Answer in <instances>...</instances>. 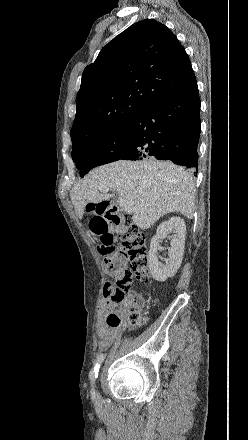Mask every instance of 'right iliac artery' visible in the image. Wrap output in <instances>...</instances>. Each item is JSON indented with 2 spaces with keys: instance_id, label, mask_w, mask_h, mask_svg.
Instances as JSON below:
<instances>
[{
  "instance_id": "right-iliac-artery-1",
  "label": "right iliac artery",
  "mask_w": 248,
  "mask_h": 440,
  "mask_svg": "<svg viewBox=\"0 0 248 440\" xmlns=\"http://www.w3.org/2000/svg\"><path fill=\"white\" fill-rule=\"evenodd\" d=\"M104 358H105L104 354H99L95 360L94 368L89 373V377H90L92 384L95 383V381L98 377V371H99V368H100L102 362L104 361Z\"/></svg>"
}]
</instances>
